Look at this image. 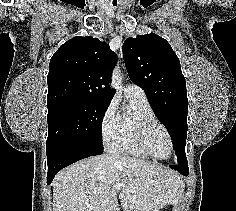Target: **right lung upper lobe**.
<instances>
[{
    "mask_svg": "<svg viewBox=\"0 0 236 211\" xmlns=\"http://www.w3.org/2000/svg\"><path fill=\"white\" fill-rule=\"evenodd\" d=\"M116 55L105 42L91 36L74 37L52 56L47 76L48 107L66 101L110 103L109 87Z\"/></svg>",
    "mask_w": 236,
    "mask_h": 211,
    "instance_id": "cb5924a9",
    "label": "right lung upper lobe"
}]
</instances>
